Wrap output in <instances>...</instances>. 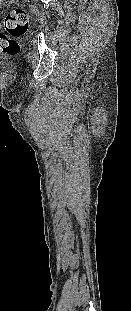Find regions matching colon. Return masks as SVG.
<instances>
[{
  "instance_id": "colon-1",
  "label": "colon",
  "mask_w": 131,
  "mask_h": 311,
  "mask_svg": "<svg viewBox=\"0 0 131 311\" xmlns=\"http://www.w3.org/2000/svg\"><path fill=\"white\" fill-rule=\"evenodd\" d=\"M12 0H0V6L12 3ZM0 54L16 55L20 46L17 37L25 33L28 27V16L25 10L14 8L10 10L3 19H0Z\"/></svg>"
}]
</instances>
